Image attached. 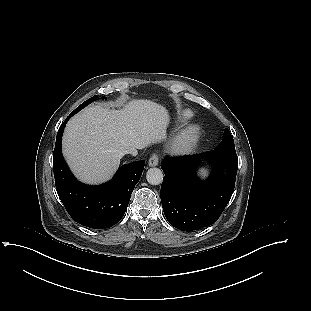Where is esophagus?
<instances>
[{
  "label": "esophagus",
  "mask_w": 311,
  "mask_h": 311,
  "mask_svg": "<svg viewBox=\"0 0 311 311\" xmlns=\"http://www.w3.org/2000/svg\"><path fill=\"white\" fill-rule=\"evenodd\" d=\"M158 162H159L158 154L157 153H153L151 155V157L149 158L148 165L150 167H154V166L158 165Z\"/></svg>",
  "instance_id": "1"
}]
</instances>
